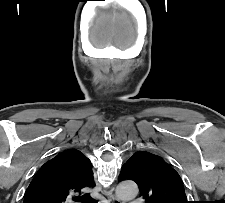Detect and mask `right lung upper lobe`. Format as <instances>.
Returning a JSON list of instances; mask_svg holds the SVG:
<instances>
[{"mask_svg":"<svg viewBox=\"0 0 225 203\" xmlns=\"http://www.w3.org/2000/svg\"><path fill=\"white\" fill-rule=\"evenodd\" d=\"M95 185L91 161L79 150L67 149L39 169L23 203H69L74 194Z\"/></svg>","mask_w":225,"mask_h":203,"instance_id":"1","label":"right lung upper lobe"}]
</instances>
